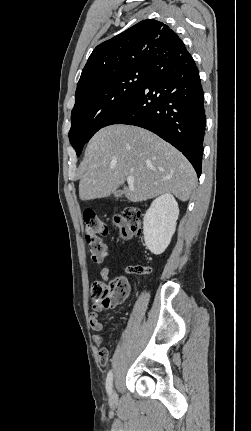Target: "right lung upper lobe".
Listing matches in <instances>:
<instances>
[{
    "label": "right lung upper lobe",
    "mask_w": 251,
    "mask_h": 431,
    "mask_svg": "<svg viewBox=\"0 0 251 431\" xmlns=\"http://www.w3.org/2000/svg\"><path fill=\"white\" fill-rule=\"evenodd\" d=\"M183 47L182 40L167 25L153 19L143 20L93 50L76 93L130 69L147 68L158 56Z\"/></svg>",
    "instance_id": "right-lung-upper-lobe-1"
}]
</instances>
